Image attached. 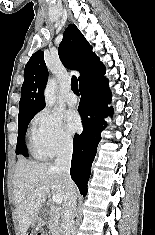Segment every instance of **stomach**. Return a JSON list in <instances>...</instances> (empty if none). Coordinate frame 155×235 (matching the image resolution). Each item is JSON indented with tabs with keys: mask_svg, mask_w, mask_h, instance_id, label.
<instances>
[{
	"mask_svg": "<svg viewBox=\"0 0 155 235\" xmlns=\"http://www.w3.org/2000/svg\"><path fill=\"white\" fill-rule=\"evenodd\" d=\"M45 224L44 220L41 217H37L36 220L33 222L32 226L35 229L42 227Z\"/></svg>",
	"mask_w": 155,
	"mask_h": 235,
	"instance_id": "0dacf381",
	"label": "stomach"
}]
</instances>
